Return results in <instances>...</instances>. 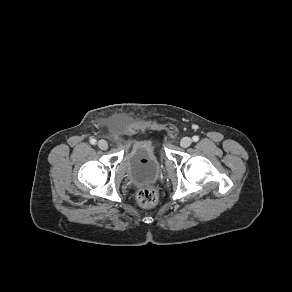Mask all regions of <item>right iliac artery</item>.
Wrapping results in <instances>:
<instances>
[{"label": "right iliac artery", "mask_w": 292, "mask_h": 292, "mask_svg": "<svg viewBox=\"0 0 292 292\" xmlns=\"http://www.w3.org/2000/svg\"><path fill=\"white\" fill-rule=\"evenodd\" d=\"M90 143L93 144V145H95L96 144V140L95 139H91L90 140Z\"/></svg>", "instance_id": "obj_1"}]
</instances>
